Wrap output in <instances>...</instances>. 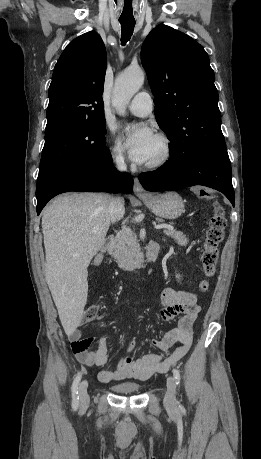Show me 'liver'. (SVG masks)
<instances>
[{
  "instance_id": "obj_1",
  "label": "liver",
  "mask_w": 261,
  "mask_h": 459,
  "mask_svg": "<svg viewBox=\"0 0 261 459\" xmlns=\"http://www.w3.org/2000/svg\"><path fill=\"white\" fill-rule=\"evenodd\" d=\"M112 197L102 193L59 196L44 210L45 279L65 333L79 326L87 302V268L105 243Z\"/></svg>"
}]
</instances>
